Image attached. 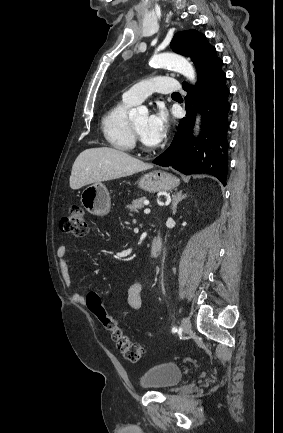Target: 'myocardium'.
<instances>
[{
    "mask_svg": "<svg viewBox=\"0 0 283 433\" xmlns=\"http://www.w3.org/2000/svg\"><path fill=\"white\" fill-rule=\"evenodd\" d=\"M132 131H133V134H134V138H135L137 141L140 140V134L138 133V131H137V129H136L134 123H132Z\"/></svg>",
    "mask_w": 283,
    "mask_h": 433,
    "instance_id": "obj_1",
    "label": "myocardium"
}]
</instances>
